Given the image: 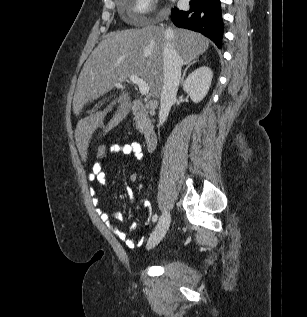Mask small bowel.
I'll list each match as a JSON object with an SVG mask.
<instances>
[{
    "instance_id": "obj_1",
    "label": "small bowel",
    "mask_w": 307,
    "mask_h": 317,
    "mask_svg": "<svg viewBox=\"0 0 307 317\" xmlns=\"http://www.w3.org/2000/svg\"><path fill=\"white\" fill-rule=\"evenodd\" d=\"M110 149H111V153L114 155L122 154L126 156H133L137 160H142L144 157L142 146L138 142H134V141L123 143V144L116 143L111 145ZM89 179L91 181H96L101 186L106 185L107 174L102 163L95 162L92 165V171L89 176ZM126 193L130 201H132L134 197L133 191L130 188H126ZM94 204L95 205L99 204V200L97 198L94 199ZM99 215L102 221L105 222L109 227H111L115 235L120 240H122L129 248H134L137 245V243L131 240L125 232L113 226L112 219H115V220L122 219V213L120 211H115L112 214H109L105 211L99 210ZM141 243L142 241H140L138 244H141Z\"/></svg>"
}]
</instances>
